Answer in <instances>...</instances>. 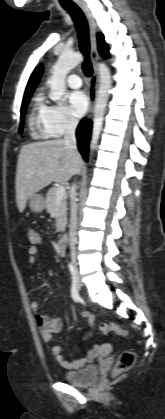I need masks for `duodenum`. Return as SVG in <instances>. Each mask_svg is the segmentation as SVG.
I'll return each instance as SVG.
<instances>
[{"label":"duodenum","instance_id":"duodenum-1","mask_svg":"<svg viewBox=\"0 0 165 419\" xmlns=\"http://www.w3.org/2000/svg\"><path fill=\"white\" fill-rule=\"evenodd\" d=\"M66 236L62 235L57 242L58 251L60 254H64L66 250Z\"/></svg>","mask_w":165,"mask_h":419}]
</instances>
